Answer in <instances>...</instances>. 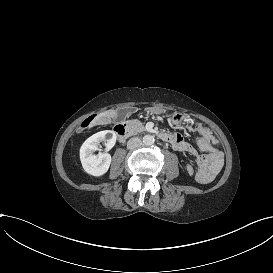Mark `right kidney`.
I'll return each instance as SVG.
<instances>
[{
    "mask_svg": "<svg viewBox=\"0 0 273 273\" xmlns=\"http://www.w3.org/2000/svg\"><path fill=\"white\" fill-rule=\"evenodd\" d=\"M105 142V151H109L116 142V135L111 130L97 132L90 136L80 148V160L84 170L93 176L105 174L111 163V155L104 152L94 154L100 142Z\"/></svg>",
    "mask_w": 273,
    "mask_h": 273,
    "instance_id": "ca27d5eb",
    "label": "right kidney"
}]
</instances>
